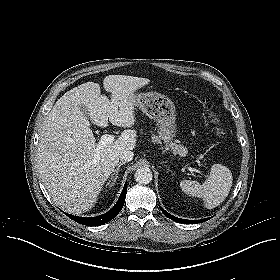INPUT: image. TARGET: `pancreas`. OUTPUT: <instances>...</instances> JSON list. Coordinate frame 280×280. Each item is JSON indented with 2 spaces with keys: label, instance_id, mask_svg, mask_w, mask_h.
Returning a JSON list of instances; mask_svg holds the SVG:
<instances>
[{
  "label": "pancreas",
  "instance_id": "cf45deb5",
  "mask_svg": "<svg viewBox=\"0 0 280 280\" xmlns=\"http://www.w3.org/2000/svg\"><path fill=\"white\" fill-rule=\"evenodd\" d=\"M152 141L153 142H160L159 137L156 135H152ZM169 147L173 151L174 154H179L180 156H185L187 154V148L181 144H176L175 142L170 143ZM168 147H166V150Z\"/></svg>",
  "mask_w": 280,
  "mask_h": 280
}]
</instances>
